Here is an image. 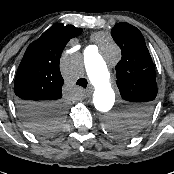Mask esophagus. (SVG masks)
Returning <instances> with one entry per match:
<instances>
[{
    "mask_svg": "<svg viewBox=\"0 0 174 174\" xmlns=\"http://www.w3.org/2000/svg\"><path fill=\"white\" fill-rule=\"evenodd\" d=\"M92 91L90 89L86 90L85 95L86 97H89L91 95Z\"/></svg>",
    "mask_w": 174,
    "mask_h": 174,
    "instance_id": "1",
    "label": "esophagus"
}]
</instances>
